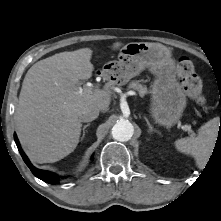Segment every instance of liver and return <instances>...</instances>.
I'll use <instances>...</instances> for the list:
<instances>
[{
    "instance_id": "liver-1",
    "label": "liver",
    "mask_w": 221,
    "mask_h": 221,
    "mask_svg": "<svg viewBox=\"0 0 221 221\" xmlns=\"http://www.w3.org/2000/svg\"><path fill=\"white\" fill-rule=\"evenodd\" d=\"M121 45L116 42L112 48ZM92 52L90 48L61 52L36 62L27 71L15 124L20 143L34 162L53 163L74 151L82 127L79 114L84 108L108 109L115 82L91 92L80 87V80L92 76Z\"/></svg>"
}]
</instances>
